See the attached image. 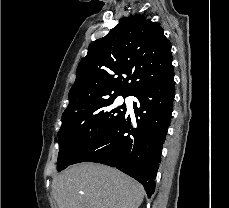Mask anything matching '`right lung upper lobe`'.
Masks as SVG:
<instances>
[{"label":"right lung upper lobe","instance_id":"right-lung-upper-lobe-1","mask_svg":"<svg viewBox=\"0 0 229 208\" xmlns=\"http://www.w3.org/2000/svg\"><path fill=\"white\" fill-rule=\"evenodd\" d=\"M163 32L158 23L134 15L92 42L77 67L62 118L99 100L133 96L172 72L171 43Z\"/></svg>","mask_w":229,"mask_h":208}]
</instances>
